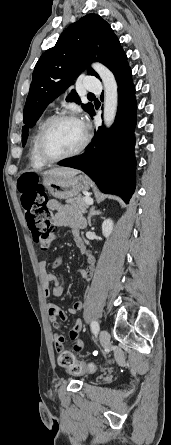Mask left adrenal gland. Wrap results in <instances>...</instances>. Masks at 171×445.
<instances>
[{
    "label": "left adrenal gland",
    "mask_w": 171,
    "mask_h": 445,
    "mask_svg": "<svg viewBox=\"0 0 171 445\" xmlns=\"http://www.w3.org/2000/svg\"><path fill=\"white\" fill-rule=\"evenodd\" d=\"M101 212L99 210H95V207H91L88 214V225L91 226V218L92 216L99 215Z\"/></svg>",
    "instance_id": "1"
}]
</instances>
